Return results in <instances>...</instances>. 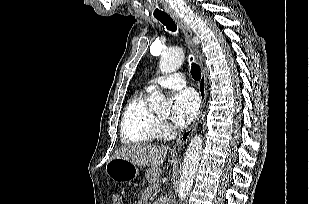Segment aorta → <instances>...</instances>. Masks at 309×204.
Returning <instances> with one entry per match:
<instances>
[{
  "mask_svg": "<svg viewBox=\"0 0 309 204\" xmlns=\"http://www.w3.org/2000/svg\"><path fill=\"white\" fill-rule=\"evenodd\" d=\"M183 61L184 52L181 48L175 47L167 49L161 54L159 68L162 73L169 74L178 70ZM149 108L155 112H163L169 110L170 104L165 96L157 91L150 99ZM202 149L203 139L200 135H196L190 141L183 160L178 188V196L181 201L187 197L194 183Z\"/></svg>",
  "mask_w": 309,
  "mask_h": 204,
  "instance_id": "1",
  "label": "aorta"
}]
</instances>
